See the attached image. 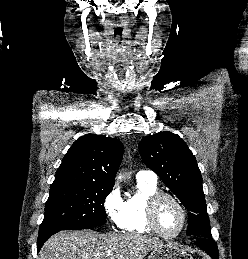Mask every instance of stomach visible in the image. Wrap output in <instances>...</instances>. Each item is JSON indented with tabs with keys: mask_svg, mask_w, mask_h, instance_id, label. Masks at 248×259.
Segmentation results:
<instances>
[{
	"mask_svg": "<svg viewBox=\"0 0 248 259\" xmlns=\"http://www.w3.org/2000/svg\"><path fill=\"white\" fill-rule=\"evenodd\" d=\"M147 259H193V257L181 248L165 245L151 251Z\"/></svg>",
	"mask_w": 248,
	"mask_h": 259,
	"instance_id": "1",
	"label": "stomach"
}]
</instances>
